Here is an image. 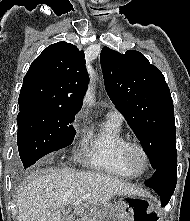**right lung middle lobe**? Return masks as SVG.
<instances>
[{"instance_id":"obj_1","label":"right lung middle lobe","mask_w":190,"mask_h":221,"mask_svg":"<svg viewBox=\"0 0 190 221\" xmlns=\"http://www.w3.org/2000/svg\"><path fill=\"white\" fill-rule=\"evenodd\" d=\"M77 112L31 109L17 116V143L24 168L44 155L70 145L76 131L72 126Z\"/></svg>"}]
</instances>
